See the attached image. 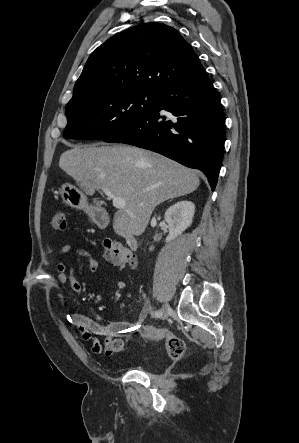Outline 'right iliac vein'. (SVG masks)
Segmentation results:
<instances>
[{"label":"right iliac vein","mask_w":299,"mask_h":443,"mask_svg":"<svg viewBox=\"0 0 299 443\" xmlns=\"http://www.w3.org/2000/svg\"><path fill=\"white\" fill-rule=\"evenodd\" d=\"M171 312V308L168 304H165L162 308V315H161V319H166L169 314Z\"/></svg>","instance_id":"63e3f726"}]
</instances>
